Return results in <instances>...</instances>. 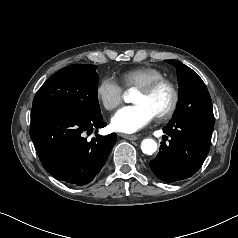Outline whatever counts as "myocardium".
Here are the masks:
<instances>
[{
  "label": "myocardium",
  "instance_id": "1",
  "mask_svg": "<svg viewBox=\"0 0 238 238\" xmlns=\"http://www.w3.org/2000/svg\"><path fill=\"white\" fill-rule=\"evenodd\" d=\"M162 86H166L169 89V91L171 92L172 99L168 108L165 111L157 114L156 116L159 119H169L176 112L180 100L179 91L176 85L171 80L164 77L159 78L141 86L140 88H138V91L143 92L145 94H152Z\"/></svg>",
  "mask_w": 238,
  "mask_h": 238
}]
</instances>
